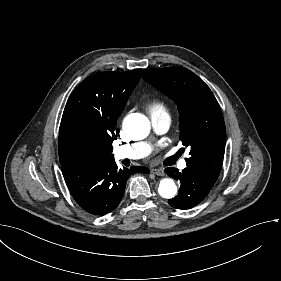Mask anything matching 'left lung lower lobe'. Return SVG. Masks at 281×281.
Segmentation results:
<instances>
[{
    "mask_svg": "<svg viewBox=\"0 0 281 281\" xmlns=\"http://www.w3.org/2000/svg\"><path fill=\"white\" fill-rule=\"evenodd\" d=\"M165 172L181 183L178 195L168 200L170 206L176 209H190L199 204L216 182L191 167H186L182 172L176 168L168 167Z\"/></svg>",
    "mask_w": 281,
    "mask_h": 281,
    "instance_id": "1",
    "label": "left lung lower lobe"
}]
</instances>
